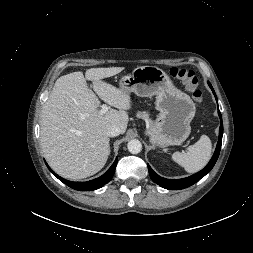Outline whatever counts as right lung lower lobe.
<instances>
[{
	"label": "right lung lower lobe",
	"mask_w": 253,
	"mask_h": 253,
	"mask_svg": "<svg viewBox=\"0 0 253 253\" xmlns=\"http://www.w3.org/2000/svg\"><path fill=\"white\" fill-rule=\"evenodd\" d=\"M47 165V164H46ZM48 166V165H47ZM117 166V158L112 164V166L109 168V170L106 171L102 176L86 181V182H72L68 181L64 178H61L56 173H54L48 166L49 170L63 183L68 185L69 187L78 190V191H92L101 188L103 185L107 184L113 177V174L115 172V168Z\"/></svg>",
	"instance_id": "1"
}]
</instances>
